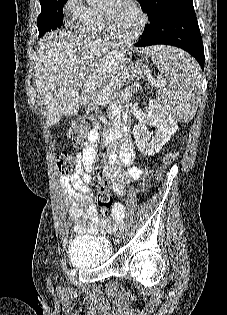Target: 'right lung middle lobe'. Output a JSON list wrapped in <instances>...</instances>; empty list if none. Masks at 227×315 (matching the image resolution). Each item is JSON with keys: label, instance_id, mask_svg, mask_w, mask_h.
<instances>
[{"label": "right lung middle lobe", "instance_id": "1", "mask_svg": "<svg viewBox=\"0 0 227 315\" xmlns=\"http://www.w3.org/2000/svg\"><path fill=\"white\" fill-rule=\"evenodd\" d=\"M67 0L40 1L41 13L37 19L39 37L46 32L60 28L63 23V7Z\"/></svg>", "mask_w": 227, "mask_h": 315}]
</instances>
